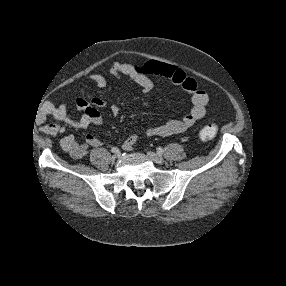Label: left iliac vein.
Instances as JSON below:
<instances>
[{
    "label": "left iliac vein",
    "instance_id": "obj_1",
    "mask_svg": "<svg viewBox=\"0 0 286 286\" xmlns=\"http://www.w3.org/2000/svg\"><path fill=\"white\" fill-rule=\"evenodd\" d=\"M147 155L155 163H158V164L164 163V158L159 154H156L154 152H148Z\"/></svg>",
    "mask_w": 286,
    "mask_h": 286
}]
</instances>
